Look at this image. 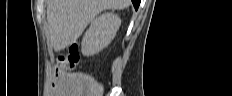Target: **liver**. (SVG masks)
Masks as SVG:
<instances>
[{
    "label": "liver",
    "mask_w": 232,
    "mask_h": 96,
    "mask_svg": "<svg viewBox=\"0 0 232 96\" xmlns=\"http://www.w3.org/2000/svg\"><path fill=\"white\" fill-rule=\"evenodd\" d=\"M47 3L51 46L61 51L76 42L100 12L125 9L131 0H48Z\"/></svg>",
    "instance_id": "liver-1"
}]
</instances>
